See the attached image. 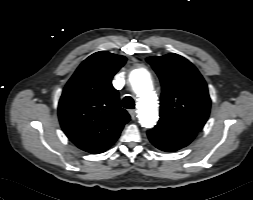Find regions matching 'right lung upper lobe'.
Wrapping results in <instances>:
<instances>
[{"mask_svg": "<svg viewBox=\"0 0 253 200\" xmlns=\"http://www.w3.org/2000/svg\"><path fill=\"white\" fill-rule=\"evenodd\" d=\"M125 62L124 56L96 52L81 63L63 90L58 105L60 125L67 137L86 152L107 150L130 120L111 83Z\"/></svg>", "mask_w": 253, "mask_h": 200, "instance_id": "cb5924a9", "label": "right lung upper lobe"}]
</instances>
